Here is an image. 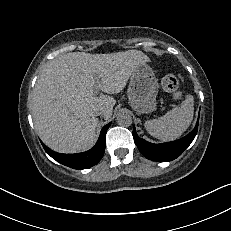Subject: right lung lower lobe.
I'll return each mask as SVG.
<instances>
[{"instance_id": "98d812e1", "label": "right lung lower lobe", "mask_w": 231, "mask_h": 231, "mask_svg": "<svg viewBox=\"0 0 231 231\" xmlns=\"http://www.w3.org/2000/svg\"><path fill=\"white\" fill-rule=\"evenodd\" d=\"M111 123L107 124L101 130L99 139L95 146L90 150L77 154H61L50 150L43 143V147L48 155H50L53 159L58 161L59 163L68 166L73 169H87L95 164H97L101 158L103 157L105 146H106V132Z\"/></svg>"}]
</instances>
